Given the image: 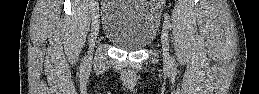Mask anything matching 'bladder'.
Masks as SVG:
<instances>
[{
    "instance_id": "31cf9c89",
    "label": "bladder",
    "mask_w": 259,
    "mask_h": 94,
    "mask_svg": "<svg viewBox=\"0 0 259 94\" xmlns=\"http://www.w3.org/2000/svg\"><path fill=\"white\" fill-rule=\"evenodd\" d=\"M160 9L155 1L109 0L102 10L103 35L127 51L147 47L156 37Z\"/></svg>"
}]
</instances>
